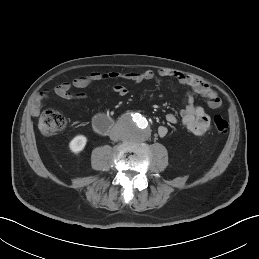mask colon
<instances>
[{"instance_id": "obj_1", "label": "colon", "mask_w": 259, "mask_h": 259, "mask_svg": "<svg viewBox=\"0 0 259 259\" xmlns=\"http://www.w3.org/2000/svg\"><path fill=\"white\" fill-rule=\"evenodd\" d=\"M66 124L65 116L57 110H46L39 118V129L45 136H51L60 131ZM214 128L218 133H225L228 123L222 116L213 119Z\"/></svg>"}]
</instances>
